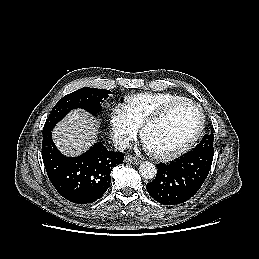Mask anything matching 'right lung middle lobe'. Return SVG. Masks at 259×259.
I'll use <instances>...</instances> for the list:
<instances>
[{
    "label": "right lung middle lobe",
    "mask_w": 259,
    "mask_h": 259,
    "mask_svg": "<svg viewBox=\"0 0 259 259\" xmlns=\"http://www.w3.org/2000/svg\"><path fill=\"white\" fill-rule=\"evenodd\" d=\"M110 93V91L105 89L84 87L64 96L53 107L43 127V134L52 131L54 126L72 109L81 108L94 116L100 114L102 110L101 103Z\"/></svg>",
    "instance_id": "obj_1"
}]
</instances>
